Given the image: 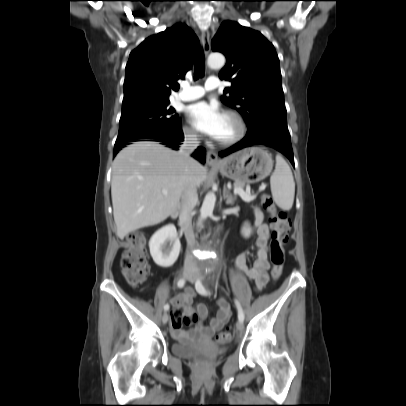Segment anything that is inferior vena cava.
Masks as SVG:
<instances>
[{"mask_svg": "<svg viewBox=\"0 0 406 406\" xmlns=\"http://www.w3.org/2000/svg\"><path fill=\"white\" fill-rule=\"evenodd\" d=\"M199 138L194 133L185 134L183 144L180 147L179 153L185 159L186 166V182L187 188L181 196V209L179 221L182 230L184 231L187 245L192 249L195 245V236L192 228V211L198 202V194L195 185V176L193 172V164L195 160L190 157V154L199 146ZM185 268L196 267V261L191 253H188L184 263Z\"/></svg>", "mask_w": 406, "mask_h": 406, "instance_id": "602c4592", "label": "inferior vena cava"}]
</instances>
